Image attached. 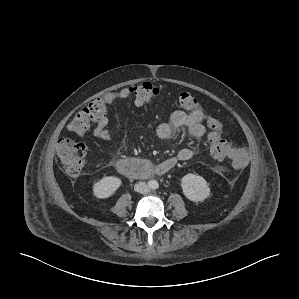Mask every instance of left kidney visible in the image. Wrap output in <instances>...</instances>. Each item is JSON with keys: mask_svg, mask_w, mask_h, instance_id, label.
Segmentation results:
<instances>
[{"mask_svg": "<svg viewBox=\"0 0 299 299\" xmlns=\"http://www.w3.org/2000/svg\"><path fill=\"white\" fill-rule=\"evenodd\" d=\"M181 187L187 199L193 202L204 201L210 195L206 180L195 174H187L181 179Z\"/></svg>", "mask_w": 299, "mask_h": 299, "instance_id": "left-kidney-1", "label": "left kidney"}]
</instances>
